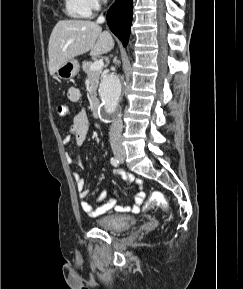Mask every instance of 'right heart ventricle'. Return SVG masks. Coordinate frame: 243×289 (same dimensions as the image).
<instances>
[{"label":"right heart ventricle","instance_id":"e07e8e85","mask_svg":"<svg viewBox=\"0 0 243 289\" xmlns=\"http://www.w3.org/2000/svg\"><path fill=\"white\" fill-rule=\"evenodd\" d=\"M67 14L74 18H84L87 14L80 8L76 0H65Z\"/></svg>","mask_w":243,"mask_h":289}]
</instances>
